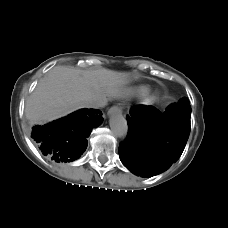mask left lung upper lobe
Masks as SVG:
<instances>
[{
	"label": "left lung upper lobe",
	"mask_w": 228,
	"mask_h": 228,
	"mask_svg": "<svg viewBox=\"0 0 228 228\" xmlns=\"http://www.w3.org/2000/svg\"><path fill=\"white\" fill-rule=\"evenodd\" d=\"M180 101H186V102H189V100L187 98H183L182 100Z\"/></svg>",
	"instance_id": "left-lung-upper-lobe-1"
}]
</instances>
